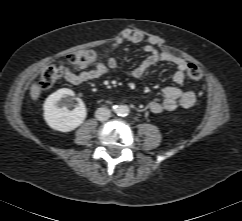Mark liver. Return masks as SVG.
<instances>
[{"instance_id":"6515ba94","label":"liver","mask_w":242,"mask_h":221,"mask_svg":"<svg viewBox=\"0 0 242 221\" xmlns=\"http://www.w3.org/2000/svg\"><path fill=\"white\" fill-rule=\"evenodd\" d=\"M41 94V87L37 83H33L30 87L31 99L37 101Z\"/></svg>"}]
</instances>
